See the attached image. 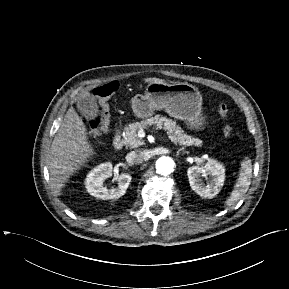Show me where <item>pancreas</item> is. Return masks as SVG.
<instances>
[{"mask_svg":"<svg viewBox=\"0 0 289 289\" xmlns=\"http://www.w3.org/2000/svg\"><path fill=\"white\" fill-rule=\"evenodd\" d=\"M151 125H155L156 129H164L169 139L174 144H179L181 146H201L202 141L200 139L187 135L172 119L163 117L159 114L126 126L123 135L124 144L130 148H136L143 145L144 142L138 137V131L146 129Z\"/></svg>","mask_w":289,"mask_h":289,"instance_id":"1","label":"pancreas"}]
</instances>
